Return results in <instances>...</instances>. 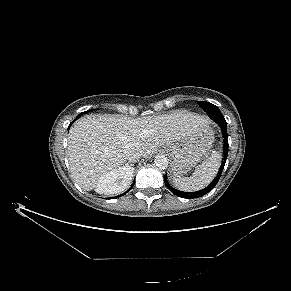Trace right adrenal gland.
<instances>
[{
	"label": "right adrenal gland",
	"mask_w": 291,
	"mask_h": 291,
	"mask_svg": "<svg viewBox=\"0 0 291 291\" xmlns=\"http://www.w3.org/2000/svg\"><path fill=\"white\" fill-rule=\"evenodd\" d=\"M135 161H129L128 163H127V165H129V164H132V163H134Z\"/></svg>",
	"instance_id": "1"
}]
</instances>
